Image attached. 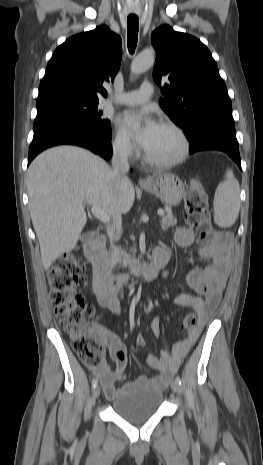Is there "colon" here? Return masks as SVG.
I'll return each instance as SVG.
<instances>
[{
    "mask_svg": "<svg viewBox=\"0 0 263 465\" xmlns=\"http://www.w3.org/2000/svg\"><path fill=\"white\" fill-rule=\"evenodd\" d=\"M186 222L197 240L206 244L214 239L208 213V197L204 185L194 179L185 192ZM50 298L57 320L70 335L73 349L89 368L98 370L104 366V338L96 327L93 306L88 304L77 289L85 284L83 268L71 254L55 261L48 274ZM198 318L194 313L183 319V329H196Z\"/></svg>",
    "mask_w": 263,
    "mask_h": 465,
    "instance_id": "obj_1",
    "label": "colon"
}]
</instances>
